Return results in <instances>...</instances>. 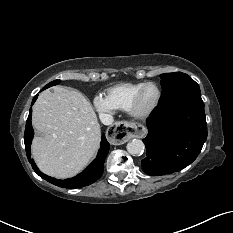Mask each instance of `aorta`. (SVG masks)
I'll list each match as a JSON object with an SVG mask.
<instances>
[{"mask_svg": "<svg viewBox=\"0 0 233 233\" xmlns=\"http://www.w3.org/2000/svg\"><path fill=\"white\" fill-rule=\"evenodd\" d=\"M126 148L131 155H140L144 152L145 145L140 139H132Z\"/></svg>", "mask_w": 233, "mask_h": 233, "instance_id": "aorta-1", "label": "aorta"}]
</instances>
